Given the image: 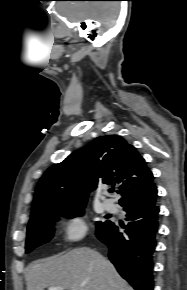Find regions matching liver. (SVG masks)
Wrapping results in <instances>:
<instances>
[{
	"instance_id": "obj_1",
	"label": "liver",
	"mask_w": 187,
	"mask_h": 290,
	"mask_svg": "<svg viewBox=\"0 0 187 290\" xmlns=\"http://www.w3.org/2000/svg\"><path fill=\"white\" fill-rule=\"evenodd\" d=\"M25 279L27 290H133L105 257L87 247L30 264Z\"/></svg>"
}]
</instances>
